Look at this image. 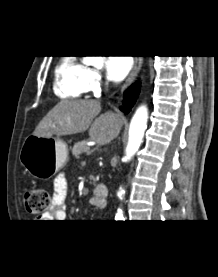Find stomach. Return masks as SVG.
I'll use <instances>...</instances> for the list:
<instances>
[{"instance_id": "1", "label": "stomach", "mask_w": 218, "mask_h": 277, "mask_svg": "<svg viewBox=\"0 0 218 277\" xmlns=\"http://www.w3.org/2000/svg\"><path fill=\"white\" fill-rule=\"evenodd\" d=\"M19 160L37 179H47L68 161V146L58 137L28 136L21 147Z\"/></svg>"}]
</instances>
